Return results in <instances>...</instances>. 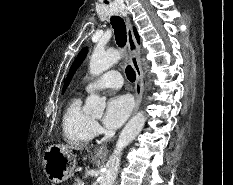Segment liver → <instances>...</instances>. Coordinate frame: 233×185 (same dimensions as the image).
Wrapping results in <instances>:
<instances>
[{"instance_id": "liver-1", "label": "liver", "mask_w": 233, "mask_h": 185, "mask_svg": "<svg viewBox=\"0 0 233 185\" xmlns=\"http://www.w3.org/2000/svg\"><path fill=\"white\" fill-rule=\"evenodd\" d=\"M59 146H61V147L64 148V149H69V148H70V147L65 146V145H59Z\"/></svg>"}]
</instances>
